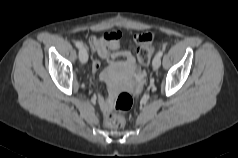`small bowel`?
Masks as SVG:
<instances>
[{
	"label": "small bowel",
	"instance_id": "obj_1",
	"mask_svg": "<svg viewBox=\"0 0 238 158\" xmlns=\"http://www.w3.org/2000/svg\"><path fill=\"white\" fill-rule=\"evenodd\" d=\"M121 32L114 31L103 34L100 37L92 36L88 42L92 49V52L96 54L100 59L106 61L109 65V69L101 72V79L112 82L111 72L115 70H122L125 73L134 74L137 81H141L144 73L138 72L136 68L135 58L129 51H120V39ZM143 36H149L150 39H142ZM137 43L149 44L152 41L151 34H139L135 37ZM122 58L121 63H117L115 60ZM101 63L99 60L92 62L93 72H97L100 69ZM114 86V83H112ZM99 103L102 110L105 113H109L111 110V100L108 98H99Z\"/></svg>",
	"mask_w": 238,
	"mask_h": 158
}]
</instances>
